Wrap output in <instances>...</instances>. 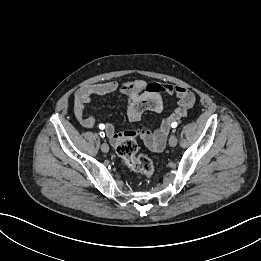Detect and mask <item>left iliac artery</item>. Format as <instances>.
I'll return each mask as SVG.
<instances>
[{"instance_id": "1", "label": "left iliac artery", "mask_w": 261, "mask_h": 261, "mask_svg": "<svg viewBox=\"0 0 261 261\" xmlns=\"http://www.w3.org/2000/svg\"><path fill=\"white\" fill-rule=\"evenodd\" d=\"M171 126H172V128H176L177 127V122H173Z\"/></svg>"}]
</instances>
